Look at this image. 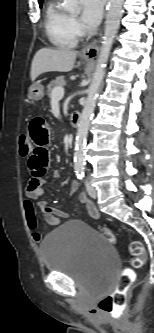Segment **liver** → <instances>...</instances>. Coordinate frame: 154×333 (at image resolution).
<instances>
[{"label": "liver", "mask_w": 154, "mask_h": 333, "mask_svg": "<svg viewBox=\"0 0 154 333\" xmlns=\"http://www.w3.org/2000/svg\"><path fill=\"white\" fill-rule=\"evenodd\" d=\"M77 51L60 47L42 48L35 54L31 65V80L46 72H68L73 69Z\"/></svg>", "instance_id": "6515ba94"}]
</instances>
